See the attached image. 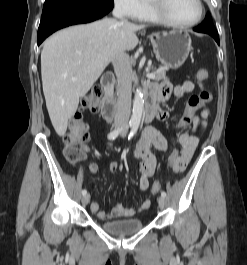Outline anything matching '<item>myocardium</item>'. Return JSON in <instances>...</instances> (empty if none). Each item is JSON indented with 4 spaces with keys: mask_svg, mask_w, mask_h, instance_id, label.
<instances>
[{
    "mask_svg": "<svg viewBox=\"0 0 247 265\" xmlns=\"http://www.w3.org/2000/svg\"><path fill=\"white\" fill-rule=\"evenodd\" d=\"M149 7L153 15L157 18V20L169 27L177 28V29H186L197 25L203 18L205 8L202 0H197L199 12L197 17L188 23H178L174 21L168 14L166 3L167 0H148Z\"/></svg>",
    "mask_w": 247,
    "mask_h": 265,
    "instance_id": "myocardium-1",
    "label": "myocardium"
}]
</instances>
